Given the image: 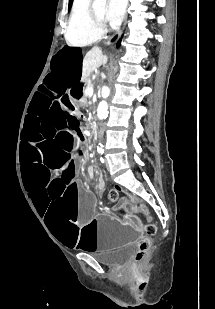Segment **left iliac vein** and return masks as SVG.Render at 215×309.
<instances>
[{
    "mask_svg": "<svg viewBox=\"0 0 215 309\" xmlns=\"http://www.w3.org/2000/svg\"><path fill=\"white\" fill-rule=\"evenodd\" d=\"M106 165H107V168H108V167H109V166H108V162H106Z\"/></svg>",
    "mask_w": 215,
    "mask_h": 309,
    "instance_id": "4c4485c4",
    "label": "left iliac vein"
}]
</instances>
